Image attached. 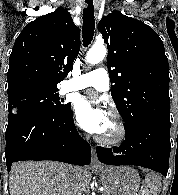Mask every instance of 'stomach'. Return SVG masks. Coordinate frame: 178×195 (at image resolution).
<instances>
[{"instance_id": "stomach-1", "label": "stomach", "mask_w": 178, "mask_h": 195, "mask_svg": "<svg viewBox=\"0 0 178 195\" xmlns=\"http://www.w3.org/2000/svg\"><path fill=\"white\" fill-rule=\"evenodd\" d=\"M106 195H138L140 177L128 166H108L98 170Z\"/></svg>"}]
</instances>
